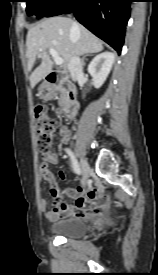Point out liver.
<instances>
[{
  "label": "liver",
  "mask_w": 158,
  "mask_h": 275,
  "mask_svg": "<svg viewBox=\"0 0 158 275\" xmlns=\"http://www.w3.org/2000/svg\"><path fill=\"white\" fill-rule=\"evenodd\" d=\"M67 17L47 18L32 27L26 38V57L28 69L31 70L36 58L41 64L31 73L32 87L45 78L53 68L48 51L54 48L68 68L71 58L84 54L98 53L103 50L102 42L84 26Z\"/></svg>",
  "instance_id": "1"
}]
</instances>
